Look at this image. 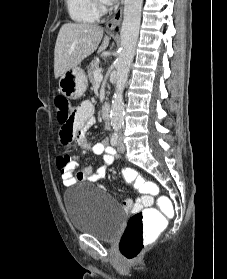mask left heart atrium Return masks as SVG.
<instances>
[{"mask_svg": "<svg viewBox=\"0 0 227 279\" xmlns=\"http://www.w3.org/2000/svg\"><path fill=\"white\" fill-rule=\"evenodd\" d=\"M104 3L106 4H111L113 3L115 0H102Z\"/></svg>", "mask_w": 227, "mask_h": 279, "instance_id": "left-heart-atrium-1", "label": "left heart atrium"}]
</instances>
